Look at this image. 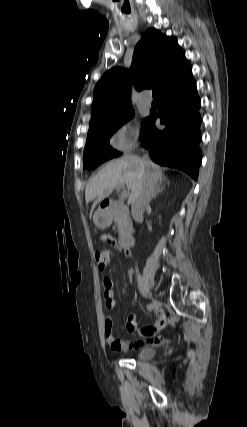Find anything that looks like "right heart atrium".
Listing matches in <instances>:
<instances>
[{
	"label": "right heart atrium",
	"instance_id": "obj_1",
	"mask_svg": "<svg viewBox=\"0 0 247 427\" xmlns=\"http://www.w3.org/2000/svg\"><path fill=\"white\" fill-rule=\"evenodd\" d=\"M142 141L138 126L133 122L119 125L110 135L109 145L116 151L126 152Z\"/></svg>",
	"mask_w": 247,
	"mask_h": 427
}]
</instances>
